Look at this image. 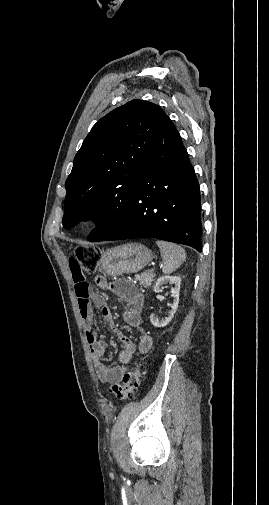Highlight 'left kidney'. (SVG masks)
Returning a JSON list of instances; mask_svg holds the SVG:
<instances>
[{"instance_id":"left-kidney-1","label":"left kidney","mask_w":269,"mask_h":505,"mask_svg":"<svg viewBox=\"0 0 269 505\" xmlns=\"http://www.w3.org/2000/svg\"><path fill=\"white\" fill-rule=\"evenodd\" d=\"M165 283H170V284L174 285V288L171 291L174 300H173V303L171 304V310L169 311L167 317L159 320L158 318H156L154 316V314L150 315V321H151L152 325L155 327H158V328L165 327L166 325L169 324V322L171 321V319L173 318V316L177 310L178 303H179V290H180L181 278L179 276H162V277H160L153 287L154 292H156V293L161 292L162 286Z\"/></svg>"}]
</instances>
